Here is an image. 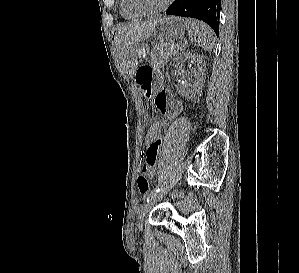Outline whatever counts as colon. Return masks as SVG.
Here are the masks:
<instances>
[{
    "label": "colon",
    "instance_id": "obj_1",
    "mask_svg": "<svg viewBox=\"0 0 299 273\" xmlns=\"http://www.w3.org/2000/svg\"><path fill=\"white\" fill-rule=\"evenodd\" d=\"M165 127V122L159 119L154 120L147 129L145 141L146 143H151L156 141L161 137L163 129ZM138 190L142 195L149 193L150 185L147 177L142 174L137 179ZM173 196L179 200L187 201L188 197L183 192L174 193Z\"/></svg>",
    "mask_w": 299,
    "mask_h": 273
}]
</instances>
